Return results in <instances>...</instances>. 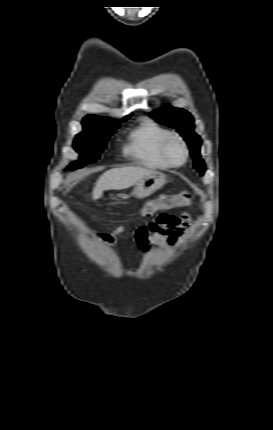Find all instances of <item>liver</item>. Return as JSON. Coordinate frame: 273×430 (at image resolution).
<instances>
[{"instance_id":"6515ba94","label":"liver","mask_w":273,"mask_h":430,"mask_svg":"<svg viewBox=\"0 0 273 430\" xmlns=\"http://www.w3.org/2000/svg\"><path fill=\"white\" fill-rule=\"evenodd\" d=\"M153 170L141 167L113 168L104 172L95 184L92 198H101L103 191L122 190L136 184L144 176L152 173Z\"/></svg>"}]
</instances>
